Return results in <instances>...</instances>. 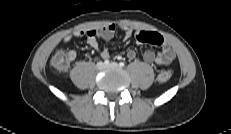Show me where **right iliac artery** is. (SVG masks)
Segmentation results:
<instances>
[{"mask_svg":"<svg viewBox=\"0 0 231 134\" xmlns=\"http://www.w3.org/2000/svg\"><path fill=\"white\" fill-rule=\"evenodd\" d=\"M110 62H109V60L108 59H106L105 61H104V64L105 65H108Z\"/></svg>","mask_w":231,"mask_h":134,"instance_id":"right-iliac-artery-1","label":"right iliac artery"}]
</instances>
